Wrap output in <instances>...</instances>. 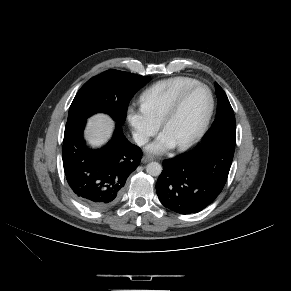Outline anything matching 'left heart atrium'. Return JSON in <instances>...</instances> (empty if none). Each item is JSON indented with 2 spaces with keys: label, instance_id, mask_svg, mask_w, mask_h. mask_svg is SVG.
Instances as JSON below:
<instances>
[{
  "label": "left heart atrium",
  "instance_id": "obj_1",
  "mask_svg": "<svg viewBox=\"0 0 291 291\" xmlns=\"http://www.w3.org/2000/svg\"><path fill=\"white\" fill-rule=\"evenodd\" d=\"M175 146L176 143L174 140L166 132H162L159 137L147 147V150L154 154H160Z\"/></svg>",
  "mask_w": 291,
  "mask_h": 291
}]
</instances>
